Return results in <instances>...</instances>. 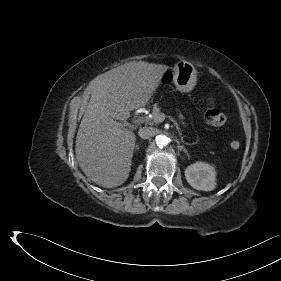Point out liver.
I'll list each match as a JSON object with an SVG mask.
<instances>
[{
  "instance_id": "1",
  "label": "liver",
  "mask_w": 281,
  "mask_h": 281,
  "mask_svg": "<svg viewBox=\"0 0 281 281\" xmlns=\"http://www.w3.org/2000/svg\"><path fill=\"white\" fill-rule=\"evenodd\" d=\"M169 69L166 65L129 62L96 77L77 136L76 159L95 184L122 185L131 170L135 134L120 121L145 107Z\"/></svg>"
}]
</instances>
